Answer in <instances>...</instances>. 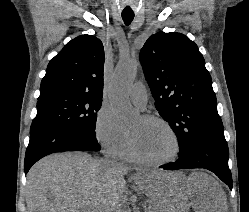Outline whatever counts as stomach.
<instances>
[{
  "mask_svg": "<svg viewBox=\"0 0 249 212\" xmlns=\"http://www.w3.org/2000/svg\"><path fill=\"white\" fill-rule=\"evenodd\" d=\"M144 193L151 199V204L159 205V210L165 212H184L190 210L186 201L190 199L189 189L191 179H185L181 170H146V175H139Z\"/></svg>",
  "mask_w": 249,
  "mask_h": 212,
  "instance_id": "stomach-1",
  "label": "stomach"
}]
</instances>
